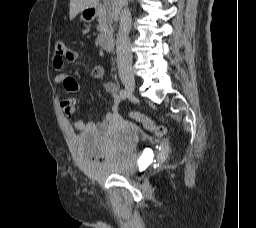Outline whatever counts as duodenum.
<instances>
[{
  "label": "duodenum",
  "mask_w": 256,
  "mask_h": 228,
  "mask_svg": "<svg viewBox=\"0 0 256 228\" xmlns=\"http://www.w3.org/2000/svg\"><path fill=\"white\" fill-rule=\"evenodd\" d=\"M99 6L98 5H92L89 9L88 12L91 17H96L97 14L99 13ZM98 43L99 45L106 51H111L113 50L114 47V39L111 33L105 32L99 35L98 37Z\"/></svg>",
  "instance_id": "obj_1"
}]
</instances>
